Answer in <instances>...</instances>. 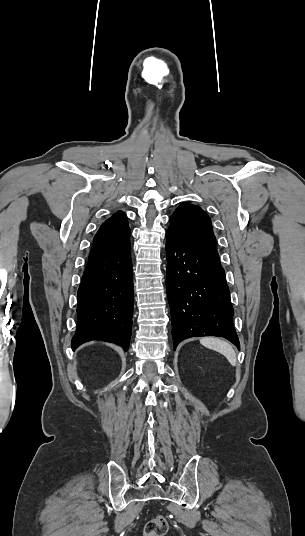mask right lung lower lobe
<instances>
[{
    "instance_id": "obj_1",
    "label": "right lung lower lobe",
    "mask_w": 305,
    "mask_h": 536,
    "mask_svg": "<svg viewBox=\"0 0 305 536\" xmlns=\"http://www.w3.org/2000/svg\"><path fill=\"white\" fill-rule=\"evenodd\" d=\"M77 295L73 350L87 341L101 340L127 351L134 299L131 247L89 259Z\"/></svg>"
}]
</instances>
